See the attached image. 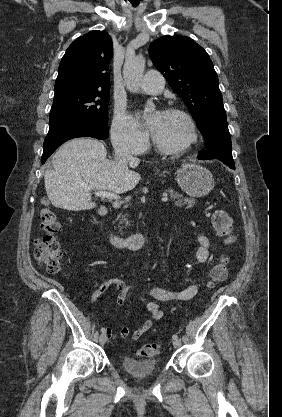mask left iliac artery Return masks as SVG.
I'll list each match as a JSON object with an SVG mask.
<instances>
[{
	"label": "left iliac artery",
	"instance_id": "obj_1",
	"mask_svg": "<svg viewBox=\"0 0 282 417\" xmlns=\"http://www.w3.org/2000/svg\"><path fill=\"white\" fill-rule=\"evenodd\" d=\"M172 338H173V340H177V339H178L177 334H174V335L172 336Z\"/></svg>",
	"mask_w": 282,
	"mask_h": 417
}]
</instances>
